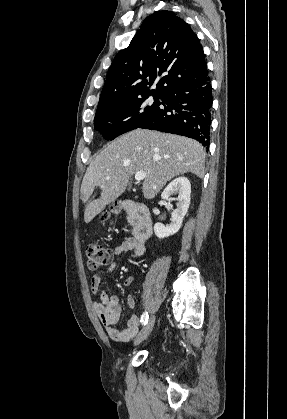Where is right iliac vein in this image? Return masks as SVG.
I'll use <instances>...</instances> for the list:
<instances>
[{
    "instance_id": "right-iliac-vein-1",
    "label": "right iliac vein",
    "mask_w": 287,
    "mask_h": 419,
    "mask_svg": "<svg viewBox=\"0 0 287 419\" xmlns=\"http://www.w3.org/2000/svg\"><path fill=\"white\" fill-rule=\"evenodd\" d=\"M155 324V316H152L149 321L147 322V324L145 325V327L141 330V332L137 335L134 344L138 345L141 342H143L148 335L151 333L153 327Z\"/></svg>"
}]
</instances>
